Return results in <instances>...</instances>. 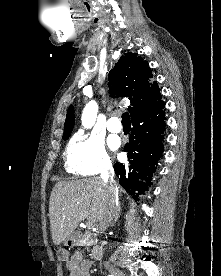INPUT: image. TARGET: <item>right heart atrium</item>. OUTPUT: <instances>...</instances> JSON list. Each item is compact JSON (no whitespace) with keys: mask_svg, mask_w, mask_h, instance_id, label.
Listing matches in <instances>:
<instances>
[{"mask_svg":"<svg viewBox=\"0 0 221 276\" xmlns=\"http://www.w3.org/2000/svg\"><path fill=\"white\" fill-rule=\"evenodd\" d=\"M65 160L68 170L80 176L96 175L111 166L102 141L87 135H77L71 140Z\"/></svg>","mask_w":221,"mask_h":276,"instance_id":"right-heart-atrium-1","label":"right heart atrium"}]
</instances>
